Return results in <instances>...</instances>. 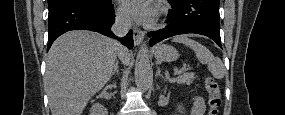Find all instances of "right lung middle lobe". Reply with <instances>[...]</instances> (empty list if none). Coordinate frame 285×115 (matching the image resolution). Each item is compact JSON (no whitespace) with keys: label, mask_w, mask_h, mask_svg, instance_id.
<instances>
[{"label":"right lung middle lobe","mask_w":285,"mask_h":115,"mask_svg":"<svg viewBox=\"0 0 285 115\" xmlns=\"http://www.w3.org/2000/svg\"><path fill=\"white\" fill-rule=\"evenodd\" d=\"M65 1H68V0H48V5H49V8H51V7H53L59 3L65 2ZM79 1L86 2L89 4H93V5H102V4H106L108 2V0H79Z\"/></svg>","instance_id":"right-lung-middle-lobe-1"}]
</instances>
